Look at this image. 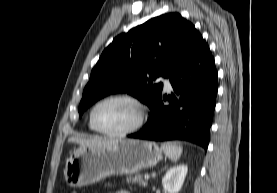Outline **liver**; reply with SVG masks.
<instances>
[{"label":"liver","instance_id":"6515ba94","mask_svg":"<svg viewBox=\"0 0 277 193\" xmlns=\"http://www.w3.org/2000/svg\"><path fill=\"white\" fill-rule=\"evenodd\" d=\"M115 140L102 138V137H94V138H79V137H71L68 139V142H74L79 144L81 147H89V148H102Z\"/></svg>","mask_w":277,"mask_h":193}]
</instances>
